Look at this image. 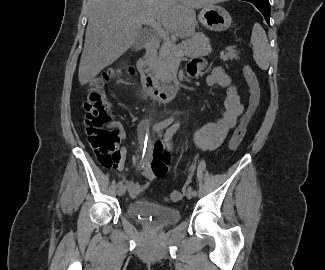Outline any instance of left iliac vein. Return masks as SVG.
<instances>
[{
    "mask_svg": "<svg viewBox=\"0 0 325 270\" xmlns=\"http://www.w3.org/2000/svg\"><path fill=\"white\" fill-rule=\"evenodd\" d=\"M186 197L188 199H192L194 197V194H193V190L191 187H189L187 190H186Z\"/></svg>",
    "mask_w": 325,
    "mask_h": 270,
    "instance_id": "obj_1",
    "label": "left iliac vein"
}]
</instances>
